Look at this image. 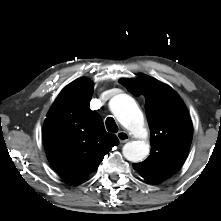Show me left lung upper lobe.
<instances>
[{"label":"left lung upper lobe","mask_w":221,"mask_h":221,"mask_svg":"<svg viewBox=\"0 0 221 221\" xmlns=\"http://www.w3.org/2000/svg\"><path fill=\"white\" fill-rule=\"evenodd\" d=\"M119 83L134 96L144 95L145 110L151 129V152L133 167L150 183H161L171 177L184 162L189 151L193 126L179 95L155 78L139 74Z\"/></svg>","instance_id":"5c2ea615"}]
</instances>
